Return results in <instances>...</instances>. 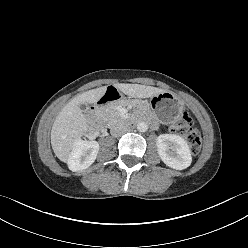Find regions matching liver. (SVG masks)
Listing matches in <instances>:
<instances>
[{
	"label": "liver",
	"mask_w": 248,
	"mask_h": 248,
	"mask_svg": "<svg viewBox=\"0 0 248 248\" xmlns=\"http://www.w3.org/2000/svg\"><path fill=\"white\" fill-rule=\"evenodd\" d=\"M117 90L133 98H150L163 89L140 84L115 85ZM107 87L86 91L69 101L56 117L51 130V145L55 155L63 162H68L74 144L89 131V121L80 105L96 103L106 92Z\"/></svg>",
	"instance_id": "1"
}]
</instances>
